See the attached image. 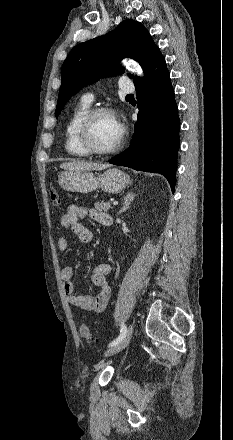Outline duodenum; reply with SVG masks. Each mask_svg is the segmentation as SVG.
Wrapping results in <instances>:
<instances>
[{
  "label": "duodenum",
  "instance_id": "obj_1",
  "mask_svg": "<svg viewBox=\"0 0 233 440\" xmlns=\"http://www.w3.org/2000/svg\"><path fill=\"white\" fill-rule=\"evenodd\" d=\"M102 224H103L104 226H107V227L111 226V225H112V218H111V217H108V218L104 219V220L102 221Z\"/></svg>",
  "mask_w": 233,
  "mask_h": 440
}]
</instances>
